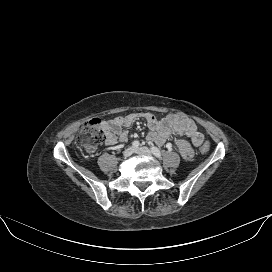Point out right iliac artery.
Returning a JSON list of instances; mask_svg holds the SVG:
<instances>
[{"label": "right iliac artery", "instance_id": "right-iliac-artery-1", "mask_svg": "<svg viewBox=\"0 0 272 272\" xmlns=\"http://www.w3.org/2000/svg\"><path fill=\"white\" fill-rule=\"evenodd\" d=\"M139 145H140L139 141H134V142L132 143L133 148H138Z\"/></svg>", "mask_w": 272, "mask_h": 272}]
</instances>
